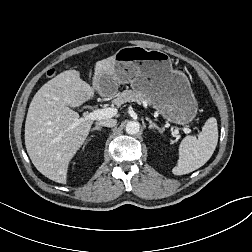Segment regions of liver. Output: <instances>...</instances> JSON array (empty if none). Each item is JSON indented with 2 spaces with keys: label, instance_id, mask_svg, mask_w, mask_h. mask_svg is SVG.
<instances>
[{
  "label": "liver",
  "instance_id": "6515ba94",
  "mask_svg": "<svg viewBox=\"0 0 252 252\" xmlns=\"http://www.w3.org/2000/svg\"><path fill=\"white\" fill-rule=\"evenodd\" d=\"M113 62L114 56L96 62L92 87L81 80L79 71L67 70L34 95L25 122V146L33 165L50 180L66 184L69 163L92 126L68 106H81L94 92L101 95L99 76L112 74Z\"/></svg>",
  "mask_w": 252,
  "mask_h": 252
}]
</instances>
